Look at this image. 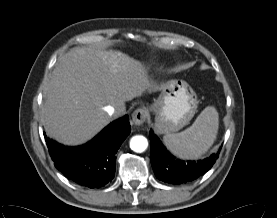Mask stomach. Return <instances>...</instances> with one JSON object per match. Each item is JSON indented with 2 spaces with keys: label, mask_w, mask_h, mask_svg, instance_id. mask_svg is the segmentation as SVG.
Listing matches in <instances>:
<instances>
[{
  "label": "stomach",
  "mask_w": 277,
  "mask_h": 218,
  "mask_svg": "<svg viewBox=\"0 0 277 218\" xmlns=\"http://www.w3.org/2000/svg\"><path fill=\"white\" fill-rule=\"evenodd\" d=\"M196 93L183 80L163 84L160 96L151 106L155 113V129L161 134H172L188 125L197 112Z\"/></svg>",
  "instance_id": "0dacf381"
}]
</instances>
